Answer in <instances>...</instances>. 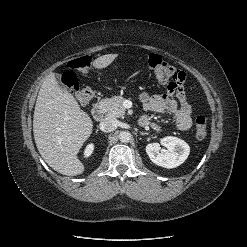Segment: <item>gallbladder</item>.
Returning <instances> with one entry per match:
<instances>
[{
  "instance_id": "bac80fb5",
  "label": "gallbladder",
  "mask_w": 247,
  "mask_h": 247,
  "mask_svg": "<svg viewBox=\"0 0 247 247\" xmlns=\"http://www.w3.org/2000/svg\"><path fill=\"white\" fill-rule=\"evenodd\" d=\"M55 76H56L57 79H60V74L57 73ZM60 86H61V88H62L63 90L67 91V87H66L65 85L60 84Z\"/></svg>"
}]
</instances>
